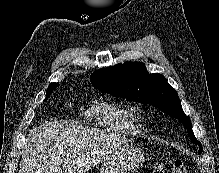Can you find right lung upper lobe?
<instances>
[{
  "instance_id": "right-lung-upper-lobe-1",
  "label": "right lung upper lobe",
  "mask_w": 219,
  "mask_h": 173,
  "mask_svg": "<svg viewBox=\"0 0 219 173\" xmlns=\"http://www.w3.org/2000/svg\"><path fill=\"white\" fill-rule=\"evenodd\" d=\"M56 84H58V83H51L49 86H53V85H56Z\"/></svg>"
}]
</instances>
